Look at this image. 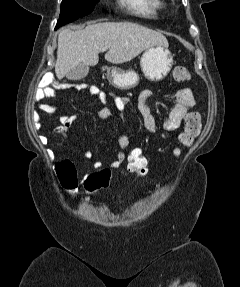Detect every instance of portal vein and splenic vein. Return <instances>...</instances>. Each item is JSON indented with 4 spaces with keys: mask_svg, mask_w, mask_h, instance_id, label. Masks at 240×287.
I'll list each match as a JSON object with an SVG mask.
<instances>
[{
    "mask_svg": "<svg viewBox=\"0 0 240 287\" xmlns=\"http://www.w3.org/2000/svg\"><path fill=\"white\" fill-rule=\"evenodd\" d=\"M106 50H107V48H106V47H103V48H102V51H106Z\"/></svg>",
    "mask_w": 240,
    "mask_h": 287,
    "instance_id": "18ae733b",
    "label": "portal vein and splenic vein"
}]
</instances>
